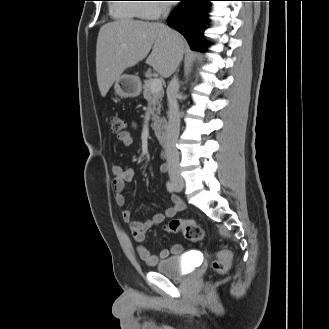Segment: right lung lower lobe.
<instances>
[{
  "label": "right lung lower lobe",
  "mask_w": 329,
  "mask_h": 329,
  "mask_svg": "<svg viewBox=\"0 0 329 329\" xmlns=\"http://www.w3.org/2000/svg\"><path fill=\"white\" fill-rule=\"evenodd\" d=\"M168 17V25L187 39L193 50L205 51L207 44L202 31L211 0H180Z\"/></svg>",
  "instance_id": "right-lung-lower-lobe-1"
}]
</instances>
